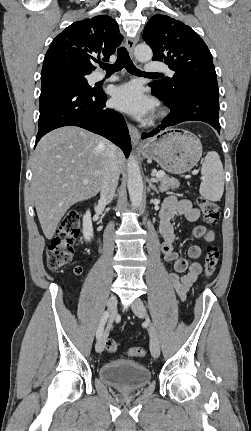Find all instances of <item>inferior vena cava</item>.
<instances>
[{"label":"inferior vena cava","instance_id":"602c4592","mask_svg":"<svg viewBox=\"0 0 251 431\" xmlns=\"http://www.w3.org/2000/svg\"><path fill=\"white\" fill-rule=\"evenodd\" d=\"M117 148L109 143L104 164L103 184L101 187L100 202L109 204L115 196L118 185L120 169L116 158Z\"/></svg>","mask_w":251,"mask_h":431}]
</instances>
